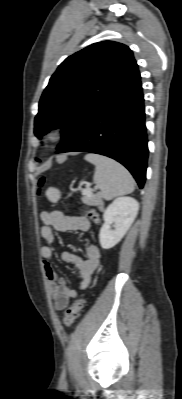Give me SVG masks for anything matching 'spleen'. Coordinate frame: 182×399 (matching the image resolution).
<instances>
[{
  "mask_svg": "<svg viewBox=\"0 0 182 399\" xmlns=\"http://www.w3.org/2000/svg\"><path fill=\"white\" fill-rule=\"evenodd\" d=\"M84 159L95 166L93 181L101 189L105 200L129 194L134 190L133 177L118 162L98 154H87ZM46 195L52 202H57L60 198V192L55 188H49Z\"/></svg>",
  "mask_w": 182,
  "mask_h": 399,
  "instance_id": "spleen-1",
  "label": "spleen"
}]
</instances>
